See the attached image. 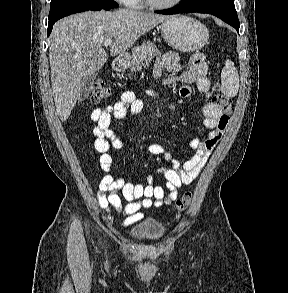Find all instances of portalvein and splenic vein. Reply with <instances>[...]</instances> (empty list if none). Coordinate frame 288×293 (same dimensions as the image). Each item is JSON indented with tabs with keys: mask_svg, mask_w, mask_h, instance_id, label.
Returning <instances> with one entry per match:
<instances>
[{
	"mask_svg": "<svg viewBox=\"0 0 288 293\" xmlns=\"http://www.w3.org/2000/svg\"><path fill=\"white\" fill-rule=\"evenodd\" d=\"M112 44V39H106L105 41H104V46L105 47H108V46H110Z\"/></svg>",
	"mask_w": 288,
	"mask_h": 293,
	"instance_id": "18ae733b",
	"label": "portal vein and splenic vein"
}]
</instances>
